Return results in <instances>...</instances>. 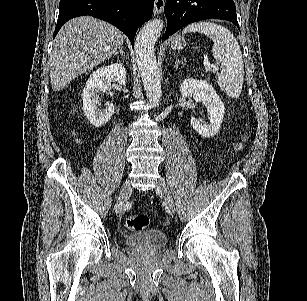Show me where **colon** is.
<instances>
[{
	"instance_id": "obj_1",
	"label": "colon",
	"mask_w": 307,
	"mask_h": 301,
	"mask_svg": "<svg viewBox=\"0 0 307 301\" xmlns=\"http://www.w3.org/2000/svg\"><path fill=\"white\" fill-rule=\"evenodd\" d=\"M236 150L242 148V142H238L235 146ZM149 224V218L147 215H130L125 220V226L130 231H141L145 229Z\"/></svg>"
}]
</instances>
